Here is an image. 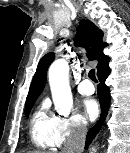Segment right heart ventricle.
I'll list each match as a JSON object with an SVG mask.
<instances>
[{
  "mask_svg": "<svg viewBox=\"0 0 130 153\" xmlns=\"http://www.w3.org/2000/svg\"><path fill=\"white\" fill-rule=\"evenodd\" d=\"M59 117L50 110L48 100H43L33 112L29 122V133L33 144L42 150L58 147L57 131Z\"/></svg>",
  "mask_w": 130,
  "mask_h": 153,
  "instance_id": "1",
  "label": "right heart ventricle"
}]
</instances>
